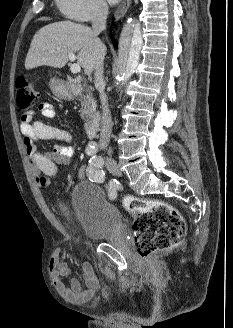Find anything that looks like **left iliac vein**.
<instances>
[{"label": "left iliac vein", "mask_w": 233, "mask_h": 328, "mask_svg": "<svg viewBox=\"0 0 233 328\" xmlns=\"http://www.w3.org/2000/svg\"><path fill=\"white\" fill-rule=\"evenodd\" d=\"M106 167L108 171L114 176H121V171L115 159L108 157L106 159Z\"/></svg>", "instance_id": "4c4485c4"}]
</instances>
